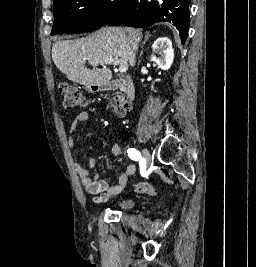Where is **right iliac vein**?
I'll return each instance as SVG.
<instances>
[{
    "label": "right iliac vein",
    "mask_w": 256,
    "mask_h": 267,
    "mask_svg": "<svg viewBox=\"0 0 256 267\" xmlns=\"http://www.w3.org/2000/svg\"><path fill=\"white\" fill-rule=\"evenodd\" d=\"M142 155H143V159L145 160V162L147 163V165H149L150 164V161H151L150 152L147 149H143L142 150Z\"/></svg>",
    "instance_id": "1"
}]
</instances>
